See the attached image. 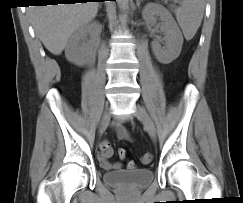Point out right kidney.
<instances>
[{"mask_svg":"<svg viewBox=\"0 0 243 203\" xmlns=\"http://www.w3.org/2000/svg\"><path fill=\"white\" fill-rule=\"evenodd\" d=\"M99 27V23L92 22L80 26L73 32L65 49V55L69 62L83 66L94 59V47L85 39L89 33L97 31Z\"/></svg>","mask_w":243,"mask_h":203,"instance_id":"ca27d5eb","label":"right kidney"}]
</instances>
